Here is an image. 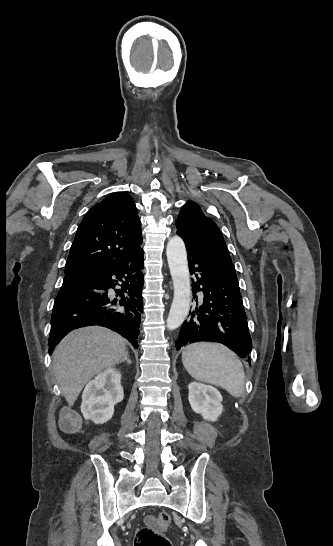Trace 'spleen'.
<instances>
[{"mask_svg": "<svg viewBox=\"0 0 333 546\" xmlns=\"http://www.w3.org/2000/svg\"><path fill=\"white\" fill-rule=\"evenodd\" d=\"M182 362L196 380L221 386L232 396L240 397L245 388V372L241 361L227 347L200 342L184 347Z\"/></svg>", "mask_w": 333, "mask_h": 546, "instance_id": "spleen-1", "label": "spleen"}]
</instances>
